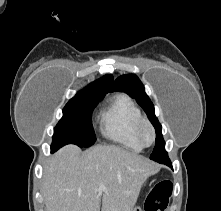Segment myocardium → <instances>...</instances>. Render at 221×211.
I'll list each match as a JSON object with an SVG mask.
<instances>
[{"instance_id":"myocardium-1","label":"myocardium","mask_w":221,"mask_h":211,"mask_svg":"<svg viewBox=\"0 0 221 211\" xmlns=\"http://www.w3.org/2000/svg\"><path fill=\"white\" fill-rule=\"evenodd\" d=\"M149 132L151 135V140L147 141L145 137V133ZM136 134L139 141L143 144V146H150L156 140V131L153 124L145 117H142L136 127Z\"/></svg>"}]
</instances>
